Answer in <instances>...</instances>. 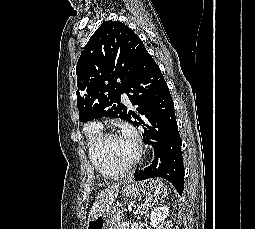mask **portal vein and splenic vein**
<instances>
[{"label": "portal vein and splenic vein", "instance_id": "18ae733b", "mask_svg": "<svg viewBox=\"0 0 255 229\" xmlns=\"http://www.w3.org/2000/svg\"><path fill=\"white\" fill-rule=\"evenodd\" d=\"M129 224H130L129 222L122 223L123 226H129Z\"/></svg>", "mask_w": 255, "mask_h": 229}]
</instances>
